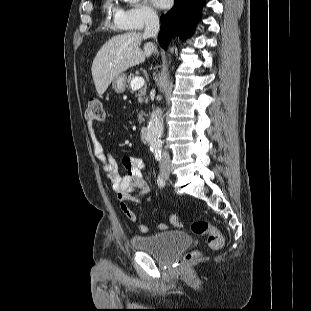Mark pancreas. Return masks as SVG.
<instances>
[{
    "mask_svg": "<svg viewBox=\"0 0 311 311\" xmlns=\"http://www.w3.org/2000/svg\"><path fill=\"white\" fill-rule=\"evenodd\" d=\"M134 76H130L128 77V79H126V83H128L127 85V88L128 89H132L131 87V81L133 80ZM133 92H135V90L132 89ZM135 96L138 97L139 99V102L140 103H143V102H147V98L145 97L146 96V88H142L138 91V93H135ZM138 121L139 123L141 124L143 121H144V118H143V111H141L139 114H138Z\"/></svg>",
    "mask_w": 311,
    "mask_h": 311,
    "instance_id": "1",
    "label": "pancreas"
}]
</instances>
